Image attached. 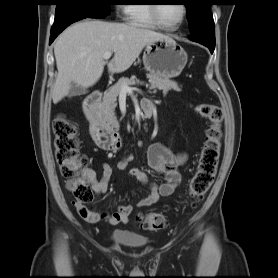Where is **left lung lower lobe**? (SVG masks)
<instances>
[{"mask_svg": "<svg viewBox=\"0 0 278 278\" xmlns=\"http://www.w3.org/2000/svg\"><path fill=\"white\" fill-rule=\"evenodd\" d=\"M189 39L192 40V41L198 42L200 44H203L204 46H206V47H208L210 49L211 53H213L214 48H215V44H211V43L202 41V40H200V39H198L196 37H193V36L189 37Z\"/></svg>", "mask_w": 278, "mask_h": 278, "instance_id": "1", "label": "left lung lower lobe"}]
</instances>
